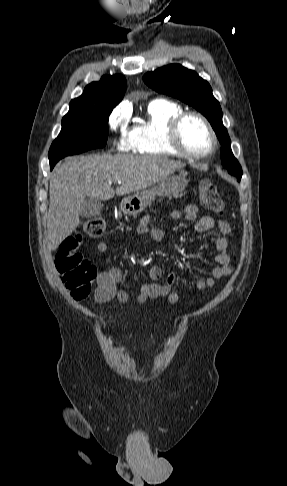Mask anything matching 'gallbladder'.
<instances>
[{
  "label": "gallbladder",
  "instance_id": "gallbladder-1",
  "mask_svg": "<svg viewBox=\"0 0 287 486\" xmlns=\"http://www.w3.org/2000/svg\"><path fill=\"white\" fill-rule=\"evenodd\" d=\"M102 207L103 205L100 200L87 197L81 204L80 215L82 218L95 217L100 214Z\"/></svg>",
  "mask_w": 287,
  "mask_h": 486
}]
</instances>
